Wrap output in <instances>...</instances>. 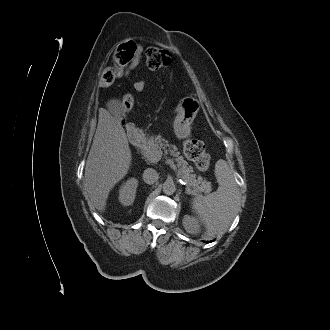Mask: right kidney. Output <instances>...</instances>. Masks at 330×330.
I'll return each instance as SVG.
<instances>
[{
  "mask_svg": "<svg viewBox=\"0 0 330 330\" xmlns=\"http://www.w3.org/2000/svg\"><path fill=\"white\" fill-rule=\"evenodd\" d=\"M138 180L130 178L124 182L119 190V201L125 206H129L134 202Z\"/></svg>",
  "mask_w": 330,
  "mask_h": 330,
  "instance_id": "1",
  "label": "right kidney"
}]
</instances>
